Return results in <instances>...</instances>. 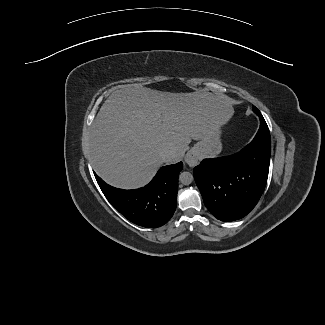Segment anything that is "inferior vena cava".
Returning <instances> with one entry per match:
<instances>
[{
  "mask_svg": "<svg viewBox=\"0 0 325 325\" xmlns=\"http://www.w3.org/2000/svg\"><path fill=\"white\" fill-rule=\"evenodd\" d=\"M161 157L164 162H169L173 158V152L171 150H165L162 152Z\"/></svg>",
  "mask_w": 325,
  "mask_h": 325,
  "instance_id": "obj_1",
  "label": "inferior vena cava"
}]
</instances>
